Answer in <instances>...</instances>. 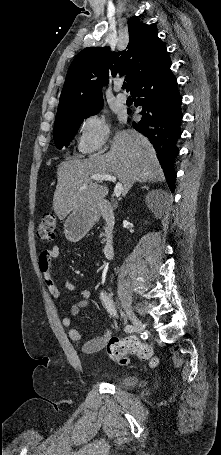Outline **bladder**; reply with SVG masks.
<instances>
[{"label": "bladder", "mask_w": 221, "mask_h": 455, "mask_svg": "<svg viewBox=\"0 0 221 455\" xmlns=\"http://www.w3.org/2000/svg\"><path fill=\"white\" fill-rule=\"evenodd\" d=\"M95 372L100 376L110 378L112 381H114L118 386L122 388L134 387L139 381L138 377L134 375L117 374L102 369H96Z\"/></svg>", "instance_id": "bladder-1"}]
</instances>
